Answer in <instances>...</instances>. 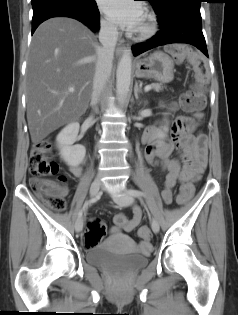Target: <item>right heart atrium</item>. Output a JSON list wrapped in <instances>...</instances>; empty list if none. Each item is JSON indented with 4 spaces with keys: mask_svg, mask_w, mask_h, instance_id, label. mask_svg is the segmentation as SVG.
<instances>
[{
    "mask_svg": "<svg viewBox=\"0 0 238 315\" xmlns=\"http://www.w3.org/2000/svg\"><path fill=\"white\" fill-rule=\"evenodd\" d=\"M101 30L108 36H114L117 33L116 26L107 18H103L100 21Z\"/></svg>",
    "mask_w": 238,
    "mask_h": 315,
    "instance_id": "right-heart-atrium-1",
    "label": "right heart atrium"
}]
</instances>
